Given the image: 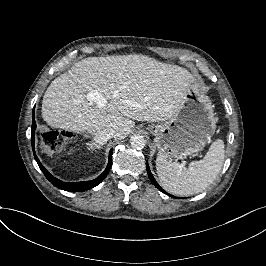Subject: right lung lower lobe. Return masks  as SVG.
<instances>
[{
    "label": "right lung lower lobe",
    "instance_id": "98d812e1",
    "mask_svg": "<svg viewBox=\"0 0 266 266\" xmlns=\"http://www.w3.org/2000/svg\"><path fill=\"white\" fill-rule=\"evenodd\" d=\"M34 112H35V110L33 109L32 136H31L32 149H33L34 157H35V159H36V161H37L40 169L42 170V172L46 176V178L54 186L58 187L59 189H62V190H65V191H71V192H81V191L89 190V189L97 186L98 184H100L103 181V179L107 176V174H108V172H109V170L111 168V165H112V149L110 150V153H109V161H108V165H107L105 171L99 177H97L96 179L91 180V181L75 182V183L62 182L61 180H59V179L55 178L54 176H52L45 169V167L41 164V162L39 161L38 157L36 156L35 147H34V143H35V129H36Z\"/></svg>",
    "mask_w": 266,
    "mask_h": 266
}]
</instances>
